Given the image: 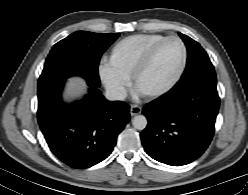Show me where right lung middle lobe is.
Listing matches in <instances>:
<instances>
[{
	"label": "right lung middle lobe",
	"instance_id": "right-lung-middle-lobe-1",
	"mask_svg": "<svg viewBox=\"0 0 248 195\" xmlns=\"http://www.w3.org/2000/svg\"><path fill=\"white\" fill-rule=\"evenodd\" d=\"M119 34L77 31L53 46L38 80V88L73 75L84 77L88 84L100 86L98 66L103 52Z\"/></svg>",
	"mask_w": 248,
	"mask_h": 195
}]
</instances>
